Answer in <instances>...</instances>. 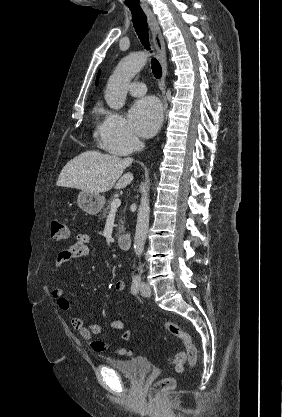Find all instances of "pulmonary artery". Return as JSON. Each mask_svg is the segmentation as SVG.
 I'll return each instance as SVG.
<instances>
[{
  "label": "pulmonary artery",
  "mask_w": 282,
  "mask_h": 417,
  "mask_svg": "<svg viewBox=\"0 0 282 417\" xmlns=\"http://www.w3.org/2000/svg\"><path fill=\"white\" fill-rule=\"evenodd\" d=\"M128 89H129V92L134 96H141V95L145 94V92H146L145 84L141 83V82H136V81L131 82L129 84Z\"/></svg>",
  "instance_id": "pulmonary-artery-1"
}]
</instances>
